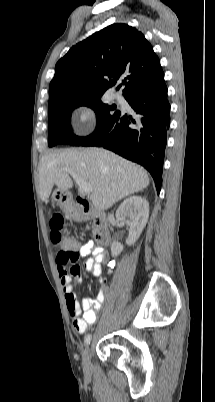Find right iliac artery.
I'll return each mask as SVG.
<instances>
[{"instance_id":"obj_1","label":"right iliac artery","mask_w":215,"mask_h":402,"mask_svg":"<svg viewBox=\"0 0 215 402\" xmlns=\"http://www.w3.org/2000/svg\"><path fill=\"white\" fill-rule=\"evenodd\" d=\"M91 337H92L91 334H88V335L85 337V344H86V345L90 344Z\"/></svg>"}]
</instances>
